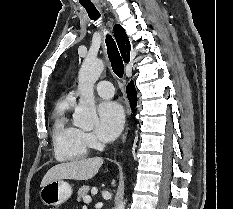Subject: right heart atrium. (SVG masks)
Here are the masks:
<instances>
[{
	"instance_id": "d8ad5b80",
	"label": "right heart atrium",
	"mask_w": 233,
	"mask_h": 209,
	"mask_svg": "<svg viewBox=\"0 0 233 209\" xmlns=\"http://www.w3.org/2000/svg\"><path fill=\"white\" fill-rule=\"evenodd\" d=\"M81 134V138L83 140V142L90 148H99L100 147V143L97 140V138L95 137V135L91 132H87V131H80Z\"/></svg>"
}]
</instances>
